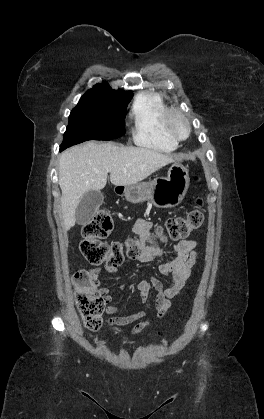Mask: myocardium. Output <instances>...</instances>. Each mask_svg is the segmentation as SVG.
<instances>
[{
	"label": "myocardium",
	"instance_id": "myocardium-1",
	"mask_svg": "<svg viewBox=\"0 0 264 419\" xmlns=\"http://www.w3.org/2000/svg\"><path fill=\"white\" fill-rule=\"evenodd\" d=\"M174 119H180L184 123L186 127V134L184 136H179L175 132L172 125ZM163 126L166 134L176 143L186 140L191 132V125L188 118L184 113L176 108H168L166 110L163 118Z\"/></svg>",
	"mask_w": 264,
	"mask_h": 419
}]
</instances>
